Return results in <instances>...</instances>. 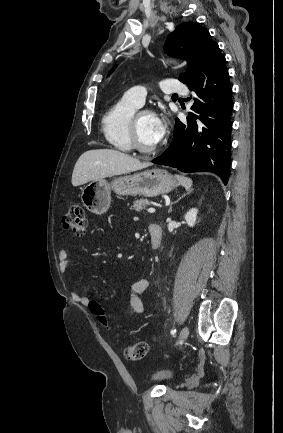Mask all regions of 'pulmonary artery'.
Wrapping results in <instances>:
<instances>
[{"mask_svg": "<svg viewBox=\"0 0 283 433\" xmlns=\"http://www.w3.org/2000/svg\"><path fill=\"white\" fill-rule=\"evenodd\" d=\"M157 85H161L164 92H177L178 96H189L190 89L185 83H179L177 78H162L157 80ZM146 91L138 87L128 90L124 98L137 107H141L145 102Z\"/></svg>", "mask_w": 283, "mask_h": 433, "instance_id": "pulmonary-artery-1", "label": "pulmonary artery"}]
</instances>
